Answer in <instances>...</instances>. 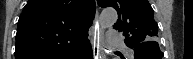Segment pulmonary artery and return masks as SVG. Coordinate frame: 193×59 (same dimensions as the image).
Instances as JSON below:
<instances>
[{
	"label": "pulmonary artery",
	"instance_id": "1",
	"mask_svg": "<svg viewBox=\"0 0 193 59\" xmlns=\"http://www.w3.org/2000/svg\"><path fill=\"white\" fill-rule=\"evenodd\" d=\"M108 41H109L110 46H120V45H122L121 37L116 35V34H113V33L108 34Z\"/></svg>",
	"mask_w": 193,
	"mask_h": 59
}]
</instances>
